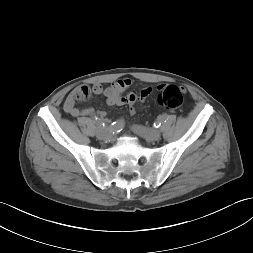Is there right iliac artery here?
<instances>
[{
  "mask_svg": "<svg viewBox=\"0 0 253 253\" xmlns=\"http://www.w3.org/2000/svg\"><path fill=\"white\" fill-rule=\"evenodd\" d=\"M94 120H95L98 128L106 126V123L103 120L99 119L98 117H95ZM123 126H124V120L120 119V120H117V121L111 123V125L109 126V129H111L112 131L119 132L122 130Z\"/></svg>",
  "mask_w": 253,
  "mask_h": 253,
  "instance_id": "1",
  "label": "right iliac artery"
}]
</instances>
